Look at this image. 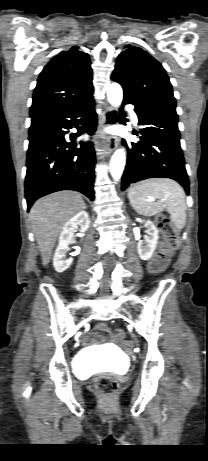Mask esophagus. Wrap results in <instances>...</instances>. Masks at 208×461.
<instances>
[{"label": "esophagus", "instance_id": "1", "mask_svg": "<svg viewBox=\"0 0 208 461\" xmlns=\"http://www.w3.org/2000/svg\"><path fill=\"white\" fill-rule=\"evenodd\" d=\"M118 116L114 108L108 107L105 109L101 118V126L106 128L117 122ZM118 146V138L116 136L106 135L104 142L100 145L97 144V148H101L106 153H111Z\"/></svg>", "mask_w": 208, "mask_h": 461}]
</instances>
